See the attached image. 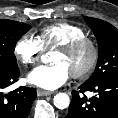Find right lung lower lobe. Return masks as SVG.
Returning a JSON list of instances; mask_svg holds the SVG:
<instances>
[{
	"instance_id": "1",
	"label": "right lung lower lobe",
	"mask_w": 118,
	"mask_h": 118,
	"mask_svg": "<svg viewBox=\"0 0 118 118\" xmlns=\"http://www.w3.org/2000/svg\"><path fill=\"white\" fill-rule=\"evenodd\" d=\"M19 69L0 72V118H27L37 93L34 88L21 86L5 94L3 89L18 81Z\"/></svg>"
}]
</instances>
